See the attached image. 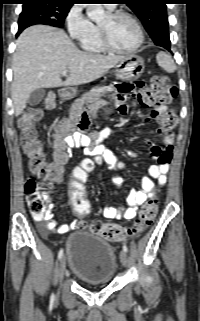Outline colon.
Segmentation results:
<instances>
[{
	"instance_id": "colon-1",
	"label": "colon",
	"mask_w": 200,
	"mask_h": 321,
	"mask_svg": "<svg viewBox=\"0 0 200 321\" xmlns=\"http://www.w3.org/2000/svg\"><path fill=\"white\" fill-rule=\"evenodd\" d=\"M143 83V82H138ZM146 90H141L140 96H132L144 105L164 106L171 102L177 96V90L172 86L165 76H154L149 84H146ZM55 98L52 95L43 100L45 110H52L55 107ZM120 113L127 111V106L121 103L118 107ZM42 112L39 109H29L18 121L20 130V142L30 158V169L36 179L30 178L26 181L25 192L27 194V203L30 213L35 218L43 217L46 212L45 195L53 188V184L63 174L61 165L62 155L52 157L48 160L45 157L43 146L39 138L36 127L37 121L41 118ZM91 113L88 111L75 113L70 120L64 121L59 125V136L68 132L73 125L80 130L85 131L89 127ZM176 125V118L169 113L164 121V128L167 134H172L171 129ZM90 161L84 162L81 168L73 174L71 181V191L69 192V202L74 216H81L84 221L90 211V202L85 193V183L87 181L86 173L92 168ZM158 211L157 199L153 198L147 201L139 212L135 224L126 228L118 224L104 223L94 221L90 224V229L101 235L107 240L121 242L129 237L140 235L154 221Z\"/></svg>"
}]
</instances>
